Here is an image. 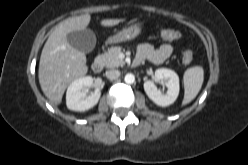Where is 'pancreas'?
Returning <instances> with one entry per match:
<instances>
[{
    "instance_id": "obj_1",
    "label": "pancreas",
    "mask_w": 248,
    "mask_h": 165,
    "mask_svg": "<svg viewBox=\"0 0 248 165\" xmlns=\"http://www.w3.org/2000/svg\"><path fill=\"white\" fill-rule=\"evenodd\" d=\"M120 53L121 47H111L106 53L101 56L104 65L107 68L123 66L125 62L119 58Z\"/></svg>"
}]
</instances>
